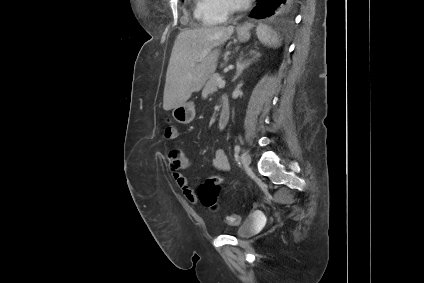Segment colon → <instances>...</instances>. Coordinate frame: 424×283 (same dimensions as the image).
Listing matches in <instances>:
<instances>
[{"mask_svg":"<svg viewBox=\"0 0 424 283\" xmlns=\"http://www.w3.org/2000/svg\"><path fill=\"white\" fill-rule=\"evenodd\" d=\"M177 135V131L173 126H167L164 130V136L166 139H174ZM169 167L172 170H178L187 164V156L185 153L177 148H173L168 152ZM222 182L221 177L212 176L205 180L198 188V197L200 202L209 208L215 207L220 191V184ZM225 221L229 225H238L240 217L237 214H227Z\"/></svg>","mask_w":424,"mask_h":283,"instance_id":"colon-1","label":"colon"}]
</instances>
